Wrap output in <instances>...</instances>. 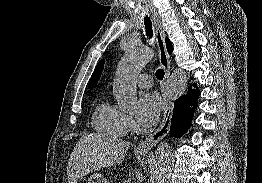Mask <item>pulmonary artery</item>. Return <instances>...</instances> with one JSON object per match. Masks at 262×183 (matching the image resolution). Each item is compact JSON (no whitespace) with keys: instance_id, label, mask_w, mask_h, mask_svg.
Returning a JSON list of instances; mask_svg holds the SVG:
<instances>
[{"instance_id":"pulmonary-artery-1","label":"pulmonary artery","mask_w":262,"mask_h":183,"mask_svg":"<svg viewBox=\"0 0 262 183\" xmlns=\"http://www.w3.org/2000/svg\"><path fill=\"white\" fill-rule=\"evenodd\" d=\"M136 83L138 84L139 87L148 89L152 86L153 81H152V77L149 74H141L137 78Z\"/></svg>"}]
</instances>
